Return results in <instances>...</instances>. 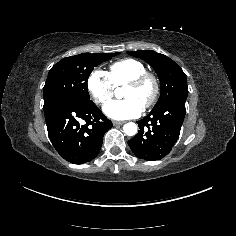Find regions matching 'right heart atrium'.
<instances>
[{
	"mask_svg": "<svg viewBox=\"0 0 236 236\" xmlns=\"http://www.w3.org/2000/svg\"><path fill=\"white\" fill-rule=\"evenodd\" d=\"M87 87L94 103L104 107L115 96L117 87L111 76L102 70H94L88 77Z\"/></svg>",
	"mask_w": 236,
	"mask_h": 236,
	"instance_id": "1",
	"label": "right heart atrium"
}]
</instances>
